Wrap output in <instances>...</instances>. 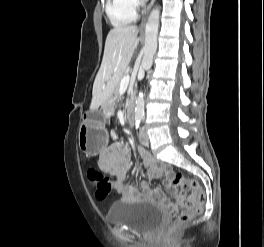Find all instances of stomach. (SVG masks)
Instances as JSON below:
<instances>
[{
  "instance_id": "1",
  "label": "stomach",
  "mask_w": 264,
  "mask_h": 247,
  "mask_svg": "<svg viewBox=\"0 0 264 247\" xmlns=\"http://www.w3.org/2000/svg\"><path fill=\"white\" fill-rule=\"evenodd\" d=\"M79 147L82 151L96 155L106 145L108 132L105 128V114L86 119L79 128Z\"/></svg>"
}]
</instances>
